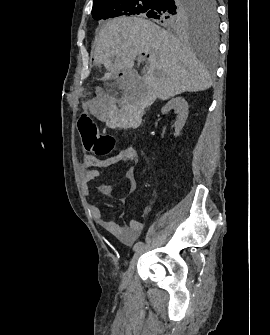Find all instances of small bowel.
I'll list each match as a JSON object with an SVG mask.
<instances>
[{"label":"small bowel","instance_id":"small-bowel-1","mask_svg":"<svg viewBox=\"0 0 270 335\" xmlns=\"http://www.w3.org/2000/svg\"><path fill=\"white\" fill-rule=\"evenodd\" d=\"M137 151L134 147L129 146L118 153L104 159L100 160L92 155L85 154L82 156V161L80 164V178L83 186L87 189L88 185L95 180L100 172V168L109 167L120 162L134 161L137 159ZM126 180L129 183V191L120 197V201L123 204H127L130 200V195L135 189V169L129 167L125 174ZM90 213L94 220L107 232L116 237L119 241L124 244H132L142 233L144 229V224L141 221L130 220L125 226H121L114 221L108 220L104 217L102 210L91 204L89 206ZM122 217H126L123 213Z\"/></svg>","mask_w":270,"mask_h":335}]
</instances>
